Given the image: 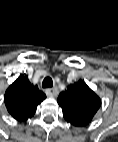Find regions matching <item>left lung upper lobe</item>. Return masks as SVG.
<instances>
[{
	"instance_id": "5c2ea615",
	"label": "left lung upper lobe",
	"mask_w": 118,
	"mask_h": 142,
	"mask_svg": "<svg viewBox=\"0 0 118 142\" xmlns=\"http://www.w3.org/2000/svg\"><path fill=\"white\" fill-rule=\"evenodd\" d=\"M57 102L65 120L77 127L88 125L101 106V99L83 80L69 85L60 93Z\"/></svg>"
}]
</instances>
